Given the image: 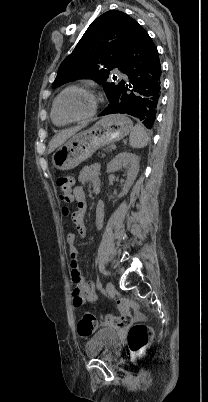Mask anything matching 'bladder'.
Listing matches in <instances>:
<instances>
[{
  "label": "bladder",
  "mask_w": 208,
  "mask_h": 402,
  "mask_svg": "<svg viewBox=\"0 0 208 402\" xmlns=\"http://www.w3.org/2000/svg\"><path fill=\"white\" fill-rule=\"evenodd\" d=\"M121 339L115 329H99L86 344L87 357L98 356L110 358L120 349Z\"/></svg>",
  "instance_id": "obj_1"
}]
</instances>
